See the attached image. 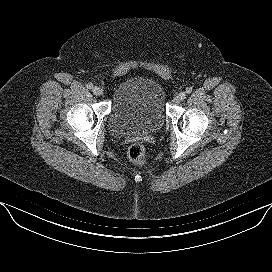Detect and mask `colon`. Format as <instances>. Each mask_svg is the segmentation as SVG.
Returning <instances> with one entry per match:
<instances>
[{"instance_id": "colon-1", "label": "colon", "mask_w": 272, "mask_h": 272, "mask_svg": "<svg viewBox=\"0 0 272 272\" xmlns=\"http://www.w3.org/2000/svg\"><path fill=\"white\" fill-rule=\"evenodd\" d=\"M128 157L136 165H145L147 162L145 147L141 143L132 144L128 149Z\"/></svg>"}]
</instances>
